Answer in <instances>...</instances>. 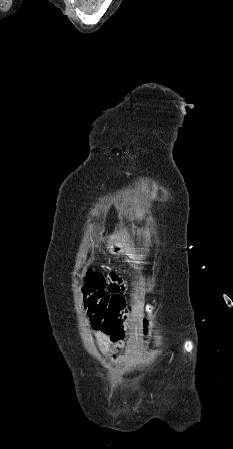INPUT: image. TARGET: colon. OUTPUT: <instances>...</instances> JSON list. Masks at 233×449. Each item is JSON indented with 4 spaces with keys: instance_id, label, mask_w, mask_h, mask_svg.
Instances as JSON below:
<instances>
[{
    "instance_id": "5ec220e1",
    "label": "colon",
    "mask_w": 233,
    "mask_h": 449,
    "mask_svg": "<svg viewBox=\"0 0 233 449\" xmlns=\"http://www.w3.org/2000/svg\"><path fill=\"white\" fill-rule=\"evenodd\" d=\"M109 286V278L101 272L87 268L85 273L84 289L86 293V307L89 312L93 328H127L133 317H138V312L131 313L138 308L137 302L131 303V308L120 296L108 295L105 292ZM123 292V291H122ZM141 332H146L150 322L148 319L138 321Z\"/></svg>"
}]
</instances>
